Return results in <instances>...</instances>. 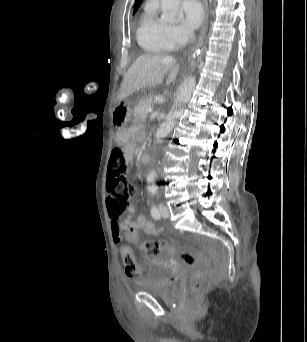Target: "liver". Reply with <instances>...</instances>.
<instances>
[{
    "mask_svg": "<svg viewBox=\"0 0 307 342\" xmlns=\"http://www.w3.org/2000/svg\"><path fill=\"white\" fill-rule=\"evenodd\" d=\"M178 72L179 64L171 56L142 54L124 74L118 100H124L140 88L162 84L166 74H169L167 82L170 84L176 80Z\"/></svg>",
    "mask_w": 307,
    "mask_h": 342,
    "instance_id": "liver-1",
    "label": "liver"
}]
</instances>
